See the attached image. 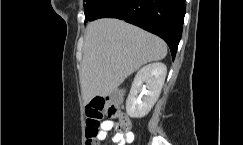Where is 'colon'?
Masks as SVG:
<instances>
[{
  "mask_svg": "<svg viewBox=\"0 0 243 145\" xmlns=\"http://www.w3.org/2000/svg\"><path fill=\"white\" fill-rule=\"evenodd\" d=\"M116 99H93L85 108L86 116V145H97V135L100 132L102 118L107 115L119 118L120 111ZM130 126L126 118H119V129L127 130Z\"/></svg>",
  "mask_w": 243,
  "mask_h": 145,
  "instance_id": "colon-1",
  "label": "colon"
}]
</instances>
